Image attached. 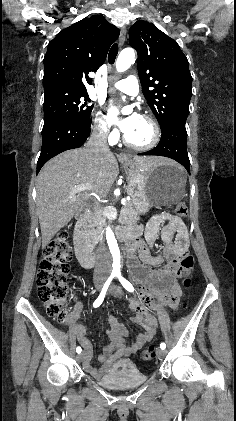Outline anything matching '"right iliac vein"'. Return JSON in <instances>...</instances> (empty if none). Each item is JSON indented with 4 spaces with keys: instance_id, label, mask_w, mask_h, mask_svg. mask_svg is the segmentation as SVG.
<instances>
[{
    "instance_id": "obj_1",
    "label": "right iliac vein",
    "mask_w": 236,
    "mask_h": 421,
    "mask_svg": "<svg viewBox=\"0 0 236 421\" xmlns=\"http://www.w3.org/2000/svg\"><path fill=\"white\" fill-rule=\"evenodd\" d=\"M103 282H104V279H101V280L98 281L97 286H98L99 289H101V287L103 285ZM84 357H85V352H82V353L78 354L76 358H77L78 362H82L84 360Z\"/></svg>"
}]
</instances>
